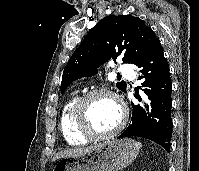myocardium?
<instances>
[{
    "label": "myocardium",
    "mask_w": 199,
    "mask_h": 171,
    "mask_svg": "<svg viewBox=\"0 0 199 171\" xmlns=\"http://www.w3.org/2000/svg\"><path fill=\"white\" fill-rule=\"evenodd\" d=\"M97 96H108L113 99L119 106L121 117L118 125L111 131L98 133L93 130L89 115L88 105L91 99ZM75 126L80 134L93 140H103L118 135L126 126L128 120V108L123 99L115 92L107 88L92 89L80 96L74 106L73 112Z\"/></svg>",
    "instance_id": "f54148a6"
}]
</instances>
